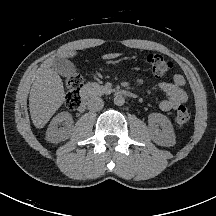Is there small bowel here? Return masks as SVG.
<instances>
[{"label": "small bowel", "instance_id": "obj_1", "mask_svg": "<svg viewBox=\"0 0 216 216\" xmlns=\"http://www.w3.org/2000/svg\"><path fill=\"white\" fill-rule=\"evenodd\" d=\"M184 85L185 79L179 74L174 75L171 81H163L159 84L160 89L166 95V98L159 103L162 111L167 112L178 109L188 101V95L183 89Z\"/></svg>", "mask_w": 216, "mask_h": 216}]
</instances>
